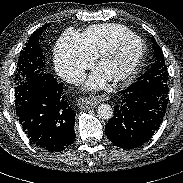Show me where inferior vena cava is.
Returning a JSON list of instances; mask_svg holds the SVG:
<instances>
[{
    "label": "inferior vena cava",
    "instance_id": "1",
    "mask_svg": "<svg viewBox=\"0 0 183 183\" xmlns=\"http://www.w3.org/2000/svg\"><path fill=\"white\" fill-rule=\"evenodd\" d=\"M83 74L84 73L81 70H73L67 74L66 79L70 83H78L81 81Z\"/></svg>",
    "mask_w": 183,
    "mask_h": 183
}]
</instances>
